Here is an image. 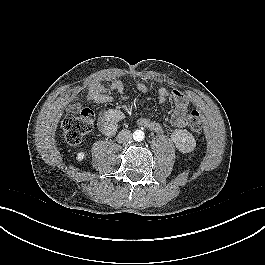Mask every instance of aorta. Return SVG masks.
<instances>
[{
    "label": "aorta",
    "instance_id": "1",
    "mask_svg": "<svg viewBox=\"0 0 265 265\" xmlns=\"http://www.w3.org/2000/svg\"><path fill=\"white\" fill-rule=\"evenodd\" d=\"M145 135H144V132L141 131V130H136L134 133H133V138L135 141H142L144 139Z\"/></svg>",
    "mask_w": 265,
    "mask_h": 265
}]
</instances>
